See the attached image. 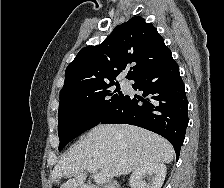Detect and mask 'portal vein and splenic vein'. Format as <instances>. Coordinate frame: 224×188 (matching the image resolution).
Wrapping results in <instances>:
<instances>
[{
  "mask_svg": "<svg viewBox=\"0 0 224 188\" xmlns=\"http://www.w3.org/2000/svg\"><path fill=\"white\" fill-rule=\"evenodd\" d=\"M87 170L94 175V180L97 184L106 183V177L101 172H98L96 167H89Z\"/></svg>",
  "mask_w": 224,
  "mask_h": 188,
  "instance_id": "obj_1",
  "label": "portal vein and splenic vein"
}]
</instances>
